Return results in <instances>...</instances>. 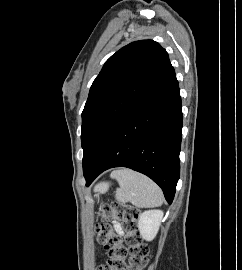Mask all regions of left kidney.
Returning a JSON list of instances; mask_svg holds the SVG:
<instances>
[{
	"instance_id": "left-kidney-1",
	"label": "left kidney",
	"mask_w": 242,
	"mask_h": 270,
	"mask_svg": "<svg viewBox=\"0 0 242 270\" xmlns=\"http://www.w3.org/2000/svg\"><path fill=\"white\" fill-rule=\"evenodd\" d=\"M163 218V212L160 210L144 211L138 221L139 233L146 241H152L159 230Z\"/></svg>"
}]
</instances>
